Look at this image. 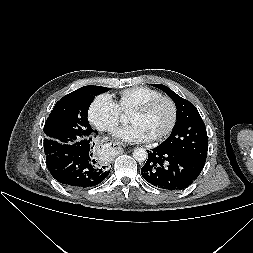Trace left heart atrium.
<instances>
[{"label": "left heart atrium", "mask_w": 253, "mask_h": 253, "mask_svg": "<svg viewBox=\"0 0 253 253\" xmlns=\"http://www.w3.org/2000/svg\"><path fill=\"white\" fill-rule=\"evenodd\" d=\"M116 137L128 143H141L151 141L152 136L139 124H131L120 129Z\"/></svg>", "instance_id": "left-heart-atrium-1"}]
</instances>
